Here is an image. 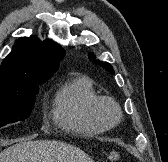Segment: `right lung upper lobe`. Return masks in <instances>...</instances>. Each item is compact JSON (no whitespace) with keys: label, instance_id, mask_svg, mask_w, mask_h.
<instances>
[{"label":"right lung upper lobe","instance_id":"obj_1","mask_svg":"<svg viewBox=\"0 0 168 162\" xmlns=\"http://www.w3.org/2000/svg\"><path fill=\"white\" fill-rule=\"evenodd\" d=\"M64 54L53 41L22 37L1 64L0 91L26 81H47L57 71Z\"/></svg>","mask_w":168,"mask_h":162}]
</instances>
